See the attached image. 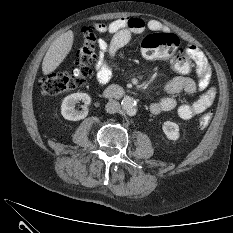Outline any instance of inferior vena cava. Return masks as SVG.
<instances>
[{
  "label": "inferior vena cava",
  "instance_id": "obj_1",
  "mask_svg": "<svg viewBox=\"0 0 233 233\" xmlns=\"http://www.w3.org/2000/svg\"><path fill=\"white\" fill-rule=\"evenodd\" d=\"M105 110L107 113L114 114L120 110V104L116 100H111L106 104Z\"/></svg>",
  "mask_w": 233,
  "mask_h": 233
}]
</instances>
